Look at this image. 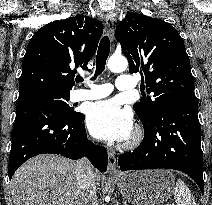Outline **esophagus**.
<instances>
[{"instance_id":"obj_1","label":"esophagus","mask_w":212,"mask_h":205,"mask_svg":"<svg viewBox=\"0 0 212 205\" xmlns=\"http://www.w3.org/2000/svg\"><path fill=\"white\" fill-rule=\"evenodd\" d=\"M105 27H106L108 36L110 37V39H113L115 24H114V16L110 12L106 13V15H105ZM107 172L109 174H117L118 173V171L116 169V157H115V153L113 151H109V153H108Z\"/></svg>"}]
</instances>
